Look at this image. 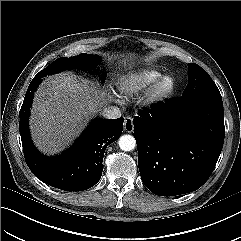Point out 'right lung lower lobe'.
Returning a JSON list of instances; mask_svg holds the SVG:
<instances>
[{"label": "right lung lower lobe", "instance_id": "obj_1", "mask_svg": "<svg viewBox=\"0 0 241 241\" xmlns=\"http://www.w3.org/2000/svg\"><path fill=\"white\" fill-rule=\"evenodd\" d=\"M40 82L41 79L33 78L19 113V129L26 163L37 178L52 187L64 191L89 189L101 178L105 149L122 134L124 118L95 119L81 137L61 155L44 156L33 145L28 129L33 93Z\"/></svg>", "mask_w": 241, "mask_h": 241}]
</instances>
